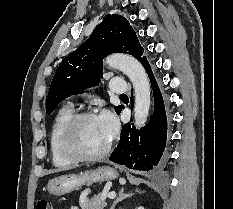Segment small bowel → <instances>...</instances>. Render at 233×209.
Wrapping results in <instances>:
<instances>
[{
    "label": "small bowel",
    "instance_id": "c3829d8e",
    "mask_svg": "<svg viewBox=\"0 0 233 209\" xmlns=\"http://www.w3.org/2000/svg\"><path fill=\"white\" fill-rule=\"evenodd\" d=\"M70 209H81V208L78 207V206H74V207H72V208H70Z\"/></svg>",
    "mask_w": 233,
    "mask_h": 209
}]
</instances>
